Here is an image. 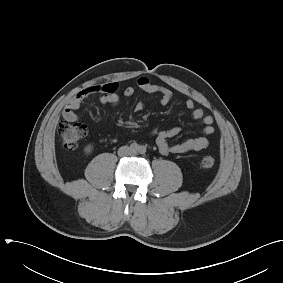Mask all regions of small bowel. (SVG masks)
<instances>
[{
  "label": "small bowel",
  "mask_w": 283,
  "mask_h": 283,
  "mask_svg": "<svg viewBox=\"0 0 283 283\" xmlns=\"http://www.w3.org/2000/svg\"><path fill=\"white\" fill-rule=\"evenodd\" d=\"M137 86L140 90L147 94H159L160 104L165 106L170 103L173 98V93L166 87L156 85L150 82L146 77H140L137 80ZM135 93V88L127 86L123 90V94L126 97H131ZM93 94L100 95V101L104 105L117 106L120 101L118 94V84L111 82L104 85H95L87 87L79 91L74 97H72L63 111V118L68 122H73L78 119L76 110L79 109L82 101ZM186 108L191 112L192 118L199 122L203 126V135L194 139H188L179 143L170 144L169 140L176 137L180 129L178 127L170 128L168 130H159L154 128L152 135L155 136L157 147L161 154H184L191 151L205 150L208 145V137L213 135L215 128L213 126V117L204 113L201 108L196 107L192 99H188L185 102ZM144 105L137 103L135 105L136 111H142Z\"/></svg>",
  "instance_id": "1"
}]
</instances>
